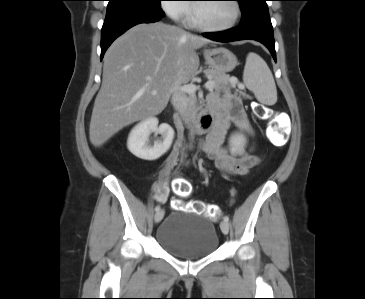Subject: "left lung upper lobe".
<instances>
[{
  "label": "left lung upper lobe",
  "instance_id": "obj_1",
  "mask_svg": "<svg viewBox=\"0 0 365 299\" xmlns=\"http://www.w3.org/2000/svg\"><path fill=\"white\" fill-rule=\"evenodd\" d=\"M236 1L239 2L241 10H245L248 7H250V6H252L256 3H260V2H263L265 0H236Z\"/></svg>",
  "mask_w": 365,
  "mask_h": 299
}]
</instances>
